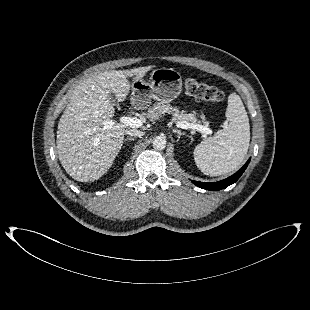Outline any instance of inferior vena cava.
Wrapping results in <instances>:
<instances>
[{
    "instance_id": "obj_1",
    "label": "inferior vena cava",
    "mask_w": 310,
    "mask_h": 310,
    "mask_svg": "<svg viewBox=\"0 0 310 310\" xmlns=\"http://www.w3.org/2000/svg\"><path fill=\"white\" fill-rule=\"evenodd\" d=\"M125 134L130 135V136H136V137H142L144 135V132L136 129H130L126 130Z\"/></svg>"
}]
</instances>
